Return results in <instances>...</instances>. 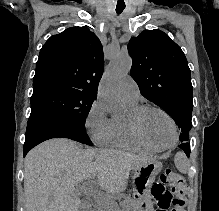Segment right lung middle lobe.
<instances>
[{"instance_id": "obj_1", "label": "right lung middle lobe", "mask_w": 219, "mask_h": 211, "mask_svg": "<svg viewBox=\"0 0 219 211\" xmlns=\"http://www.w3.org/2000/svg\"><path fill=\"white\" fill-rule=\"evenodd\" d=\"M95 98L66 87L49 86L33 92L31 114H49L85 129L86 117Z\"/></svg>"}]
</instances>
